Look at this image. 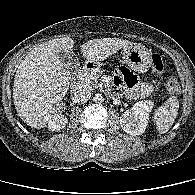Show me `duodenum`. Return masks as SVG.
<instances>
[{
  "mask_svg": "<svg viewBox=\"0 0 195 195\" xmlns=\"http://www.w3.org/2000/svg\"><path fill=\"white\" fill-rule=\"evenodd\" d=\"M95 68H96V66L92 63H88L83 67L82 71L79 74L78 79L72 83L71 89H72L73 92H78L81 89V79H82V77L86 73H88L90 71H93Z\"/></svg>",
  "mask_w": 195,
  "mask_h": 195,
  "instance_id": "1",
  "label": "duodenum"
}]
</instances>
